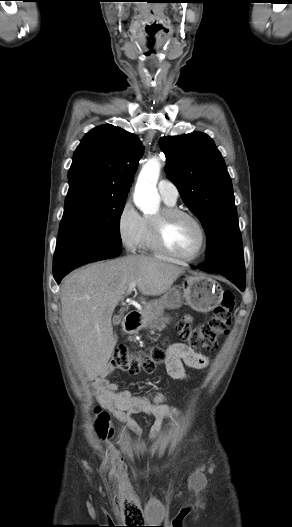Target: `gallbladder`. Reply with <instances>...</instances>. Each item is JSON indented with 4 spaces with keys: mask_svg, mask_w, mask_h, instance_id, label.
<instances>
[{
    "mask_svg": "<svg viewBox=\"0 0 292 527\" xmlns=\"http://www.w3.org/2000/svg\"><path fill=\"white\" fill-rule=\"evenodd\" d=\"M120 322H121V317L120 316L117 315V316L113 317V325L117 326V325L120 324Z\"/></svg>",
    "mask_w": 292,
    "mask_h": 527,
    "instance_id": "gallbladder-1",
    "label": "gallbladder"
}]
</instances>
